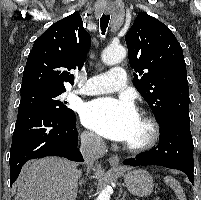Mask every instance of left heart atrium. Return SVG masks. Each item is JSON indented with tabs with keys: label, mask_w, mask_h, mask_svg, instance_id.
Here are the masks:
<instances>
[{
	"label": "left heart atrium",
	"mask_w": 201,
	"mask_h": 200,
	"mask_svg": "<svg viewBox=\"0 0 201 200\" xmlns=\"http://www.w3.org/2000/svg\"><path fill=\"white\" fill-rule=\"evenodd\" d=\"M138 118L134 104L128 99L100 98L87 103L81 112L84 125L99 135L126 142Z\"/></svg>",
	"instance_id": "1"
}]
</instances>
